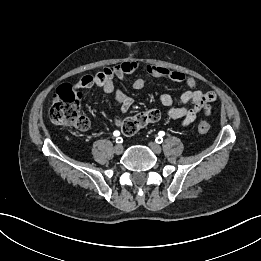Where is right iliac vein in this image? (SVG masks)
<instances>
[{"mask_svg": "<svg viewBox=\"0 0 261 261\" xmlns=\"http://www.w3.org/2000/svg\"><path fill=\"white\" fill-rule=\"evenodd\" d=\"M123 152V146L121 144H117L115 147H114V153L119 155Z\"/></svg>", "mask_w": 261, "mask_h": 261, "instance_id": "63e3f726", "label": "right iliac vein"}]
</instances>
